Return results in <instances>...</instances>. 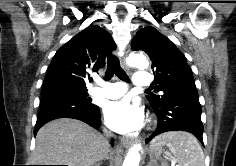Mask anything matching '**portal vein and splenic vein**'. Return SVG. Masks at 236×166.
<instances>
[{
    "mask_svg": "<svg viewBox=\"0 0 236 166\" xmlns=\"http://www.w3.org/2000/svg\"><path fill=\"white\" fill-rule=\"evenodd\" d=\"M176 163V161L175 160H172V164H175Z\"/></svg>",
    "mask_w": 236,
    "mask_h": 166,
    "instance_id": "18ae733b",
    "label": "portal vein and splenic vein"
}]
</instances>
